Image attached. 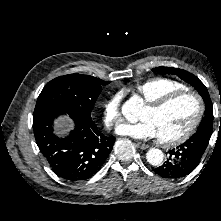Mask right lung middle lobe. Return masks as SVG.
Returning a JSON list of instances; mask_svg holds the SVG:
<instances>
[{
	"label": "right lung middle lobe",
	"mask_w": 221,
	"mask_h": 221,
	"mask_svg": "<svg viewBox=\"0 0 221 221\" xmlns=\"http://www.w3.org/2000/svg\"><path fill=\"white\" fill-rule=\"evenodd\" d=\"M109 81L82 74H69L48 82L37 104H48L71 116L92 121L91 112L103 85Z\"/></svg>",
	"instance_id": "1"
}]
</instances>
